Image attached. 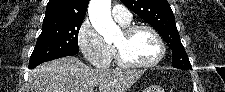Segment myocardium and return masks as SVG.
<instances>
[{
    "instance_id": "obj_1",
    "label": "myocardium",
    "mask_w": 225,
    "mask_h": 92,
    "mask_svg": "<svg viewBox=\"0 0 225 92\" xmlns=\"http://www.w3.org/2000/svg\"><path fill=\"white\" fill-rule=\"evenodd\" d=\"M139 30H147L149 31L156 39L158 46H159V54L158 56L151 62L148 63H138L136 61H133L129 59L124 50L119 47L118 45H114V49L116 52V58L117 62L125 67V68H130V69H147L150 67H154L158 65L162 59L165 56L166 53V47L163 38L159 34V32L152 26L147 25V24H134V25H128L127 27L124 28L123 33L126 39H129L133 34H135Z\"/></svg>"
}]
</instances>
